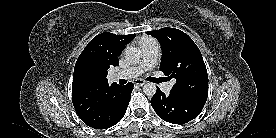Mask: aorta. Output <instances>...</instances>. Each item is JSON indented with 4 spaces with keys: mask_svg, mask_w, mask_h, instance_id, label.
<instances>
[{
    "mask_svg": "<svg viewBox=\"0 0 276 138\" xmlns=\"http://www.w3.org/2000/svg\"><path fill=\"white\" fill-rule=\"evenodd\" d=\"M124 57L127 63L137 64L141 60L142 52L138 48L130 46L125 49ZM156 90V84L152 82L145 84L143 87V92L150 97L155 95Z\"/></svg>",
    "mask_w": 276,
    "mask_h": 138,
    "instance_id": "aorta-1",
    "label": "aorta"
}]
</instances>
